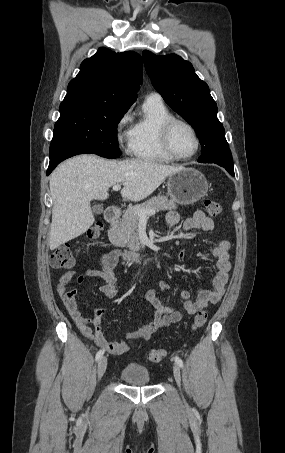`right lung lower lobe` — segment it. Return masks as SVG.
<instances>
[{
    "label": "right lung lower lobe",
    "mask_w": 285,
    "mask_h": 453,
    "mask_svg": "<svg viewBox=\"0 0 285 453\" xmlns=\"http://www.w3.org/2000/svg\"><path fill=\"white\" fill-rule=\"evenodd\" d=\"M85 153H88V151L79 144L72 142L63 136L54 135L50 145V163L47 175H49L61 161L74 155Z\"/></svg>",
    "instance_id": "obj_1"
}]
</instances>
